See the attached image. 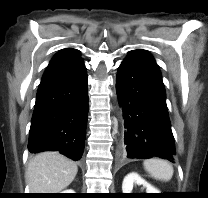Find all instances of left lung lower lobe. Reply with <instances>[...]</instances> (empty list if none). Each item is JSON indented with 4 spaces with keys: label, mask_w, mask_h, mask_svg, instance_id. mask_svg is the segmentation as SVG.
<instances>
[{
    "label": "left lung lower lobe",
    "mask_w": 208,
    "mask_h": 198,
    "mask_svg": "<svg viewBox=\"0 0 208 198\" xmlns=\"http://www.w3.org/2000/svg\"><path fill=\"white\" fill-rule=\"evenodd\" d=\"M116 91L124 116L127 158L160 157L174 162V137L162 76L145 50L130 51L118 68Z\"/></svg>",
    "instance_id": "1"
}]
</instances>
